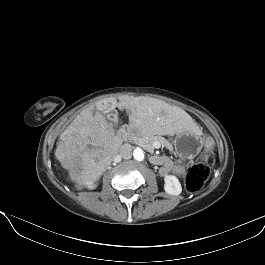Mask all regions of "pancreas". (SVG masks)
<instances>
[{"label": "pancreas", "instance_id": "obj_1", "mask_svg": "<svg viewBox=\"0 0 265 265\" xmlns=\"http://www.w3.org/2000/svg\"><path fill=\"white\" fill-rule=\"evenodd\" d=\"M129 140L131 142H134L141 147H143L145 150L152 152L153 151V142L158 141L161 143L162 146H165L167 149L170 151H173V146L172 144L166 140L165 138L161 136H135V135H130Z\"/></svg>", "mask_w": 265, "mask_h": 265}]
</instances>
